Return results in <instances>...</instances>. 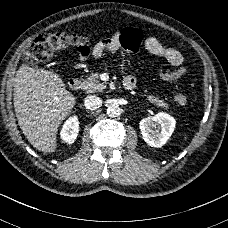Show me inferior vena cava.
<instances>
[{"label":"inferior vena cava","instance_id":"obj_1","mask_svg":"<svg viewBox=\"0 0 228 228\" xmlns=\"http://www.w3.org/2000/svg\"><path fill=\"white\" fill-rule=\"evenodd\" d=\"M84 104L87 109L96 110L102 106V100L96 95H90L85 98Z\"/></svg>","mask_w":228,"mask_h":228}]
</instances>
